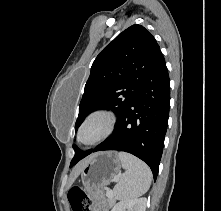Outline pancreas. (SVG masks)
Here are the masks:
<instances>
[{
    "instance_id": "cf45deb5",
    "label": "pancreas",
    "mask_w": 221,
    "mask_h": 211,
    "mask_svg": "<svg viewBox=\"0 0 221 211\" xmlns=\"http://www.w3.org/2000/svg\"><path fill=\"white\" fill-rule=\"evenodd\" d=\"M106 195H107V192H106ZM113 195H114V194H113ZM107 202H108V206H109V207L113 206L114 203H115V198H114V196H113L112 198H109V197H108Z\"/></svg>"
}]
</instances>
